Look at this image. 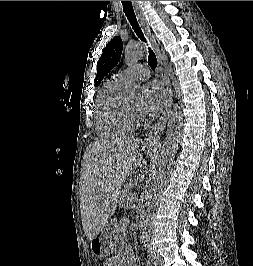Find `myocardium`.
<instances>
[{"instance_id": "f54148a6", "label": "myocardium", "mask_w": 253, "mask_h": 266, "mask_svg": "<svg viewBox=\"0 0 253 266\" xmlns=\"http://www.w3.org/2000/svg\"><path fill=\"white\" fill-rule=\"evenodd\" d=\"M124 111L126 113V115L130 118V120L136 124L137 122V112L132 110L129 106V104L127 103V101L124 100Z\"/></svg>"}]
</instances>
